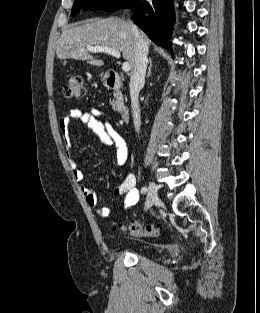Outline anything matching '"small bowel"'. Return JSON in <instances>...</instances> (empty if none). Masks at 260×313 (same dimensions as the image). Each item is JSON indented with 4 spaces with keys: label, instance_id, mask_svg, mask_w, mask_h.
<instances>
[{
    "label": "small bowel",
    "instance_id": "1",
    "mask_svg": "<svg viewBox=\"0 0 260 313\" xmlns=\"http://www.w3.org/2000/svg\"><path fill=\"white\" fill-rule=\"evenodd\" d=\"M103 117V112L97 109H91L88 112H83L80 109H71L60 121V130L66 146V157L69 162L72 177L77 182L83 181L84 174L74 159L71 148L70 130L71 124L74 120H79L86 124L103 142L115 146L116 164L118 166H122L127 160L128 148L125 139L109 120H100V118ZM135 185L136 177L132 172H129L126 174L122 183L115 188L114 192L116 195L124 196L123 205L125 210L131 209L138 202L139 197ZM79 189L84 196L86 203L90 207L95 208V212L99 217H107L109 215L110 208L107 206L98 207L97 195L87 185L81 184Z\"/></svg>",
    "mask_w": 260,
    "mask_h": 313
}]
</instances>
